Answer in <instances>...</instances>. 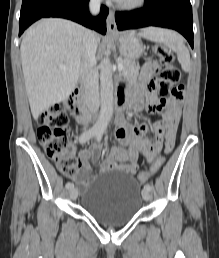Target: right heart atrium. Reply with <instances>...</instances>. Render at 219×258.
<instances>
[{"mask_svg":"<svg viewBox=\"0 0 219 258\" xmlns=\"http://www.w3.org/2000/svg\"><path fill=\"white\" fill-rule=\"evenodd\" d=\"M100 0H92L93 3H99Z\"/></svg>","mask_w":219,"mask_h":258,"instance_id":"d8ad5b80","label":"right heart atrium"}]
</instances>
